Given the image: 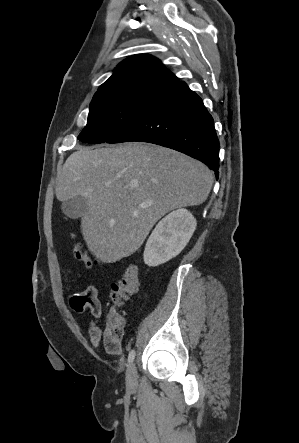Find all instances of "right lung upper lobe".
<instances>
[{"label":"right lung upper lobe","mask_w":299,"mask_h":443,"mask_svg":"<svg viewBox=\"0 0 299 443\" xmlns=\"http://www.w3.org/2000/svg\"><path fill=\"white\" fill-rule=\"evenodd\" d=\"M180 82L163 63L151 55L140 54L122 61L95 95L121 88L155 87L168 89Z\"/></svg>","instance_id":"1"}]
</instances>
